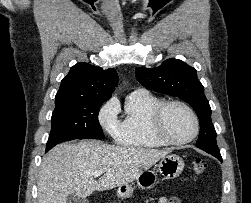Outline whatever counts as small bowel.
Wrapping results in <instances>:
<instances>
[{"label":"small bowel","instance_id":"c3829d8e","mask_svg":"<svg viewBox=\"0 0 251 203\" xmlns=\"http://www.w3.org/2000/svg\"><path fill=\"white\" fill-rule=\"evenodd\" d=\"M157 203H181L177 198L160 197Z\"/></svg>","mask_w":251,"mask_h":203}]
</instances>
